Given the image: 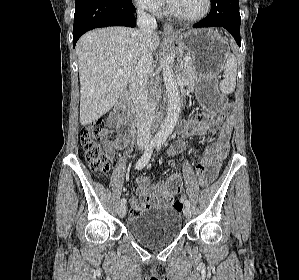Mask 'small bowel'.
<instances>
[{"label": "small bowel", "instance_id": "1", "mask_svg": "<svg viewBox=\"0 0 299 280\" xmlns=\"http://www.w3.org/2000/svg\"><path fill=\"white\" fill-rule=\"evenodd\" d=\"M217 129V122L205 121L197 123L194 118L183 121L178 125V133L184 139L202 136L208 132L214 133ZM232 129V121L230 119L226 120L220 127L217 138L206 147L203 153L201 160L208 165L210 179L217 175L223 160L229 152ZM127 144V137L122 134L119 135L114 141L107 144L109 156L112 157L116 149H123ZM180 148L181 146H175L170 150V153L173 154ZM169 164L171 167L174 166L173 162ZM137 185L138 198L130 197L129 203L132 209L138 208L140 211L156 206L171 207L174 203V197L182 194L184 190L182 179L178 173H173L166 181L159 182L156 185H151L147 177L139 176Z\"/></svg>", "mask_w": 299, "mask_h": 280}]
</instances>
